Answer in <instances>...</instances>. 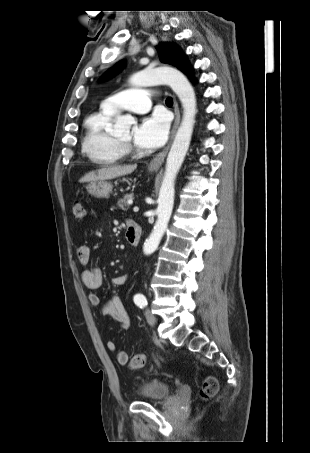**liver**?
I'll return each mask as SVG.
<instances>
[{
  "label": "liver",
  "mask_w": 310,
  "mask_h": 453,
  "mask_svg": "<svg viewBox=\"0 0 310 453\" xmlns=\"http://www.w3.org/2000/svg\"><path fill=\"white\" fill-rule=\"evenodd\" d=\"M137 168V164L124 166H109L103 167L96 171H91L85 174L80 180V183L95 182L99 180H108L116 177L124 176L132 173Z\"/></svg>",
  "instance_id": "1"
}]
</instances>
